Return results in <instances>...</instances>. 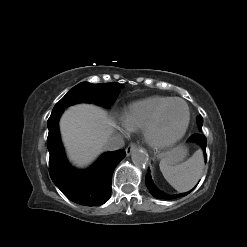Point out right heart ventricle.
I'll return each instance as SVG.
<instances>
[{"label":"right heart ventricle","mask_w":247,"mask_h":247,"mask_svg":"<svg viewBox=\"0 0 247 247\" xmlns=\"http://www.w3.org/2000/svg\"><path fill=\"white\" fill-rule=\"evenodd\" d=\"M172 99L168 96H151L131 103L124 116L129 128L133 130H144L151 121L157 110Z\"/></svg>","instance_id":"e07e8e85"}]
</instances>
